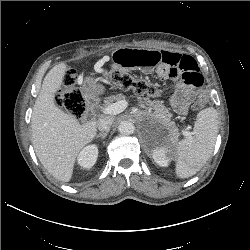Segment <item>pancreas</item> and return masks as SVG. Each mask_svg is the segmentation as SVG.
I'll return each instance as SVG.
<instances>
[{
	"mask_svg": "<svg viewBox=\"0 0 250 250\" xmlns=\"http://www.w3.org/2000/svg\"><path fill=\"white\" fill-rule=\"evenodd\" d=\"M125 97L121 94L118 95H112L109 97H105L104 100V104L102 108H105L107 106H109L110 104H112L114 101H119V100H123ZM145 103L151 108L152 110V117L159 119L161 121H163L165 124H167L170 127V132H171V140L173 142H176L178 139V131L177 128L175 127L174 123L170 121V113L167 110V108L161 104L158 100H149L146 99Z\"/></svg>",
	"mask_w": 250,
	"mask_h": 250,
	"instance_id": "obj_1",
	"label": "pancreas"
}]
</instances>
